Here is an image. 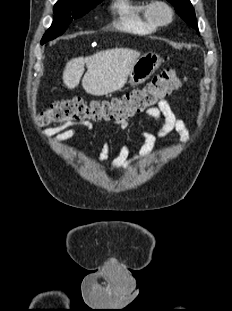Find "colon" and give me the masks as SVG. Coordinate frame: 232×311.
Here are the masks:
<instances>
[{
  "label": "colon",
  "instance_id": "colon-1",
  "mask_svg": "<svg viewBox=\"0 0 232 311\" xmlns=\"http://www.w3.org/2000/svg\"><path fill=\"white\" fill-rule=\"evenodd\" d=\"M183 79L174 69H165L155 75L146 86L132 89L111 100L86 102L80 97L60 100L39 114L38 123L41 126H50L88 120H125L154 107L178 89Z\"/></svg>",
  "mask_w": 232,
  "mask_h": 311
}]
</instances>
